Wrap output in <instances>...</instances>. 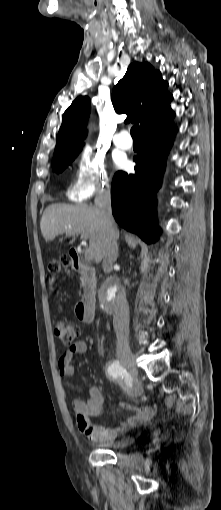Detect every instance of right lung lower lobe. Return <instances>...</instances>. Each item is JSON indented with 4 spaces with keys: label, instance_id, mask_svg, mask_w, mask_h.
<instances>
[{
    "label": "right lung lower lobe",
    "instance_id": "right-lung-lower-lobe-1",
    "mask_svg": "<svg viewBox=\"0 0 221 510\" xmlns=\"http://www.w3.org/2000/svg\"><path fill=\"white\" fill-rule=\"evenodd\" d=\"M175 132L173 117L142 130L141 152L133 158L136 162L135 174L118 171L112 181L111 200L115 220L147 243L155 242L160 233L155 193L161 186L165 160Z\"/></svg>",
    "mask_w": 221,
    "mask_h": 510
}]
</instances>
